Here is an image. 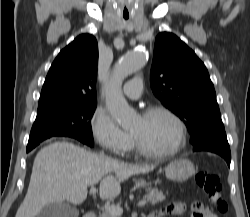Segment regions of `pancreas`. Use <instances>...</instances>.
I'll list each match as a JSON object with an SVG mask.
<instances>
[{
	"mask_svg": "<svg viewBox=\"0 0 250 217\" xmlns=\"http://www.w3.org/2000/svg\"><path fill=\"white\" fill-rule=\"evenodd\" d=\"M147 191H148V195L146 196V198L150 202V204H152V205H155L159 202H162L166 198L165 195L163 194V192L159 191L156 188L147 189ZM117 206H120V204H118ZM99 217H119V216L114 215V214L108 212L107 210H104L102 212V214H100Z\"/></svg>",
	"mask_w": 250,
	"mask_h": 217,
	"instance_id": "pancreas-1",
	"label": "pancreas"
}]
</instances>
